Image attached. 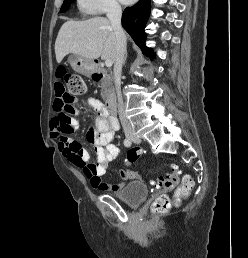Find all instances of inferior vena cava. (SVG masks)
<instances>
[{"label":"inferior vena cava","instance_id":"inferior-vena-cava-1","mask_svg":"<svg viewBox=\"0 0 248 258\" xmlns=\"http://www.w3.org/2000/svg\"><path fill=\"white\" fill-rule=\"evenodd\" d=\"M121 16V6L116 1L110 2L107 9V17L116 36V50L114 59V83L118 100V113L123 130L126 135H129L133 133V128L130 122L128 121L127 115L125 113L120 88L122 65L126 53V36L121 26Z\"/></svg>","mask_w":248,"mask_h":258}]
</instances>
